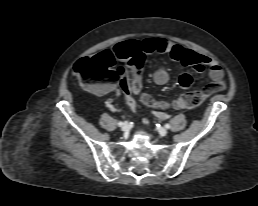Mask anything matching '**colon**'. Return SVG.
I'll use <instances>...</instances> for the list:
<instances>
[{
  "instance_id": "obj_1",
  "label": "colon",
  "mask_w": 258,
  "mask_h": 206,
  "mask_svg": "<svg viewBox=\"0 0 258 206\" xmlns=\"http://www.w3.org/2000/svg\"><path fill=\"white\" fill-rule=\"evenodd\" d=\"M142 65L143 60L139 56L129 60L125 67H116L114 57L107 52H102L77 61L74 65V76L79 84L87 88L120 81L127 103L132 109L135 108V98L137 96H140L144 104L160 109L167 107L191 109L201 105L205 98L211 94L225 88L223 82H216L205 86L201 91L187 92L171 104L157 102L149 95L142 93L140 77Z\"/></svg>"
}]
</instances>
